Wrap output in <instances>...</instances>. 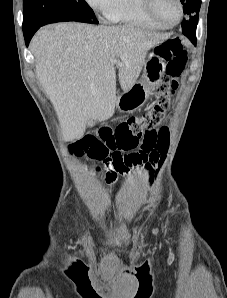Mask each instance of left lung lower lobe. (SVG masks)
<instances>
[{"label":"left lung lower lobe","instance_id":"left-lung-lower-lobe-1","mask_svg":"<svg viewBox=\"0 0 227 298\" xmlns=\"http://www.w3.org/2000/svg\"><path fill=\"white\" fill-rule=\"evenodd\" d=\"M193 44L196 45V42L194 41Z\"/></svg>","mask_w":227,"mask_h":298}]
</instances>
